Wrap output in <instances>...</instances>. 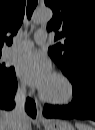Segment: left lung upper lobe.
Returning a JSON list of instances; mask_svg holds the SVG:
<instances>
[{
	"instance_id": "obj_1",
	"label": "left lung upper lobe",
	"mask_w": 95,
	"mask_h": 130,
	"mask_svg": "<svg viewBox=\"0 0 95 130\" xmlns=\"http://www.w3.org/2000/svg\"><path fill=\"white\" fill-rule=\"evenodd\" d=\"M53 11L47 30L59 43L48 54L74 80L83 70H95V0H44Z\"/></svg>"
}]
</instances>
